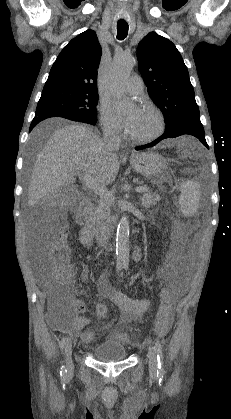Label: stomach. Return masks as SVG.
<instances>
[{
  "label": "stomach",
  "instance_id": "1",
  "mask_svg": "<svg viewBox=\"0 0 231 419\" xmlns=\"http://www.w3.org/2000/svg\"><path fill=\"white\" fill-rule=\"evenodd\" d=\"M130 163L136 172L150 180L161 182L164 179L166 161L157 152L147 151L133 154Z\"/></svg>",
  "mask_w": 231,
  "mask_h": 419
}]
</instances>
